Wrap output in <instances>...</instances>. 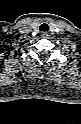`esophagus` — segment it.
Segmentation results:
<instances>
[{"label":"esophagus","instance_id":"34e87169","mask_svg":"<svg viewBox=\"0 0 81 124\" xmlns=\"http://www.w3.org/2000/svg\"><path fill=\"white\" fill-rule=\"evenodd\" d=\"M41 36H42V37H48L49 34H48L47 32H42V33H41Z\"/></svg>","mask_w":81,"mask_h":124}]
</instances>
